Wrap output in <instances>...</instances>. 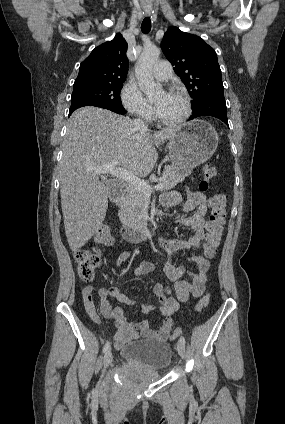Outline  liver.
I'll return each mask as SVG.
<instances>
[{"instance_id": "1", "label": "liver", "mask_w": 285, "mask_h": 424, "mask_svg": "<svg viewBox=\"0 0 285 424\" xmlns=\"http://www.w3.org/2000/svg\"><path fill=\"white\" fill-rule=\"evenodd\" d=\"M177 131L168 128L153 135L135 127L124 116L98 107L76 110L67 122L60 162V195L65 233L77 251L100 229L113 185L99 180L92 169L117 162L138 177L152 171L158 153L155 146Z\"/></svg>"}]
</instances>
